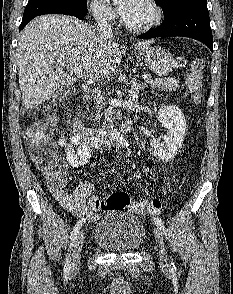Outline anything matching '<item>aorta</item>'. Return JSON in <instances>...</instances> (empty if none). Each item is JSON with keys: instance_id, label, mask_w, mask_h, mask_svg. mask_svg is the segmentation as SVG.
<instances>
[{"instance_id": "1", "label": "aorta", "mask_w": 233, "mask_h": 294, "mask_svg": "<svg viewBox=\"0 0 233 294\" xmlns=\"http://www.w3.org/2000/svg\"><path fill=\"white\" fill-rule=\"evenodd\" d=\"M111 136L122 146L129 147L128 141L124 138V136L114 127L113 124L109 126Z\"/></svg>"}]
</instances>
